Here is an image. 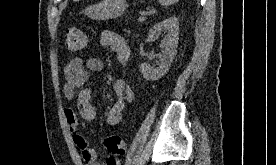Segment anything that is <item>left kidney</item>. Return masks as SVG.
Instances as JSON below:
<instances>
[{
	"mask_svg": "<svg viewBox=\"0 0 276 165\" xmlns=\"http://www.w3.org/2000/svg\"><path fill=\"white\" fill-rule=\"evenodd\" d=\"M167 32L165 40L160 44L164 49L162 58L158 67L151 66L147 63H142L140 71L146 80H157L163 77L169 70L171 63L177 53L179 22L175 16L169 17L162 22L156 23L149 30V37L153 38L158 33Z\"/></svg>",
	"mask_w": 276,
	"mask_h": 165,
	"instance_id": "left-kidney-1",
	"label": "left kidney"
}]
</instances>
